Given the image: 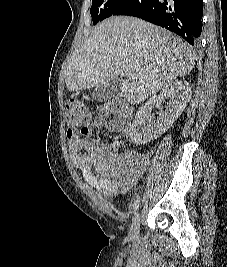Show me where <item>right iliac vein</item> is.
Returning a JSON list of instances; mask_svg holds the SVG:
<instances>
[{"label": "right iliac vein", "mask_w": 227, "mask_h": 267, "mask_svg": "<svg viewBox=\"0 0 227 267\" xmlns=\"http://www.w3.org/2000/svg\"><path fill=\"white\" fill-rule=\"evenodd\" d=\"M139 227H140V215H139V213H137V214H135V217L133 219V223H132L130 231H129V237L131 239H135L138 237Z\"/></svg>", "instance_id": "obj_1"}]
</instances>
